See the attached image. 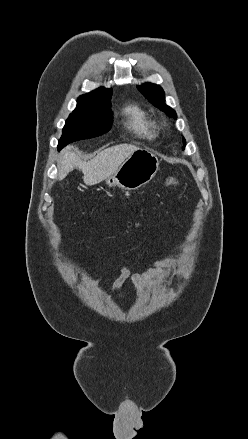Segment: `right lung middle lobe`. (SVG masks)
I'll return each instance as SVG.
<instances>
[{"mask_svg":"<svg viewBox=\"0 0 248 439\" xmlns=\"http://www.w3.org/2000/svg\"><path fill=\"white\" fill-rule=\"evenodd\" d=\"M112 121L110 108L77 104L66 120L58 149L71 142L94 138L108 132Z\"/></svg>","mask_w":248,"mask_h":439,"instance_id":"right-lung-middle-lobe-1","label":"right lung middle lobe"}]
</instances>
